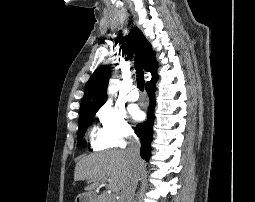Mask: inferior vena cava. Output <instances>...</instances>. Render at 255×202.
Wrapping results in <instances>:
<instances>
[{
  "label": "inferior vena cava",
  "mask_w": 255,
  "mask_h": 202,
  "mask_svg": "<svg viewBox=\"0 0 255 202\" xmlns=\"http://www.w3.org/2000/svg\"><path fill=\"white\" fill-rule=\"evenodd\" d=\"M125 153L133 165V171L129 183L121 191L119 202H133L141 171L140 141L133 132H131L129 135V145L125 150Z\"/></svg>",
  "instance_id": "obj_1"
}]
</instances>
